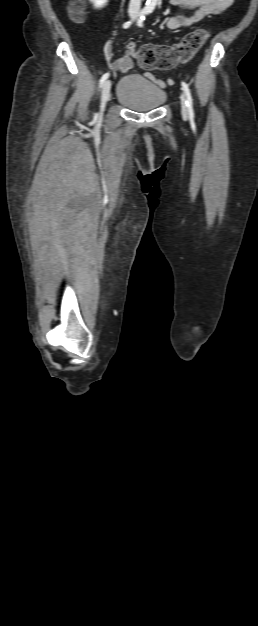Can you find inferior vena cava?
<instances>
[{"instance_id": "1", "label": "inferior vena cava", "mask_w": 258, "mask_h": 626, "mask_svg": "<svg viewBox=\"0 0 258 626\" xmlns=\"http://www.w3.org/2000/svg\"><path fill=\"white\" fill-rule=\"evenodd\" d=\"M141 7V0H130L128 13L130 16H135L138 14Z\"/></svg>"}]
</instances>
